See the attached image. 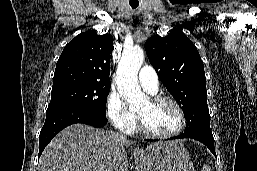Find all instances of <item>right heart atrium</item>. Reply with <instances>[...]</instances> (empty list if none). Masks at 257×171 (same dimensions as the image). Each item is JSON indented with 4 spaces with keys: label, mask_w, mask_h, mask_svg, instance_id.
<instances>
[{
    "label": "right heart atrium",
    "mask_w": 257,
    "mask_h": 171,
    "mask_svg": "<svg viewBox=\"0 0 257 171\" xmlns=\"http://www.w3.org/2000/svg\"><path fill=\"white\" fill-rule=\"evenodd\" d=\"M106 115L111 124L122 132H130L136 121L132 112L116 91H111L106 99Z\"/></svg>",
    "instance_id": "1"
}]
</instances>
